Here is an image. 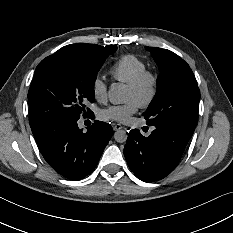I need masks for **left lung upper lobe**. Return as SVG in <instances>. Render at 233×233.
I'll return each instance as SVG.
<instances>
[{"label":"left lung upper lobe","mask_w":233,"mask_h":233,"mask_svg":"<svg viewBox=\"0 0 233 233\" xmlns=\"http://www.w3.org/2000/svg\"><path fill=\"white\" fill-rule=\"evenodd\" d=\"M159 66L157 93L145 112L148 125L195 129L200 90L189 65L167 49L145 47Z\"/></svg>","instance_id":"1"}]
</instances>
